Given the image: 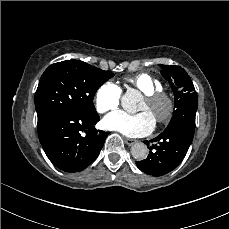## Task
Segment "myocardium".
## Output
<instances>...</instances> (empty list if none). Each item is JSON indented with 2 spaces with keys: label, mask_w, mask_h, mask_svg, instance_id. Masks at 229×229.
Instances as JSON below:
<instances>
[{
  "label": "myocardium",
  "mask_w": 229,
  "mask_h": 229,
  "mask_svg": "<svg viewBox=\"0 0 229 229\" xmlns=\"http://www.w3.org/2000/svg\"><path fill=\"white\" fill-rule=\"evenodd\" d=\"M145 100L151 106H162L163 110L154 115L156 122L168 124L176 112V102L172 95L164 90H155L144 94Z\"/></svg>",
  "instance_id": "myocardium-1"
}]
</instances>
